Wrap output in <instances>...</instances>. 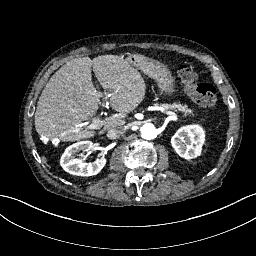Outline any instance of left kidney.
Returning a JSON list of instances; mask_svg holds the SVG:
<instances>
[{"label": "left kidney", "mask_w": 256, "mask_h": 256, "mask_svg": "<svg viewBox=\"0 0 256 256\" xmlns=\"http://www.w3.org/2000/svg\"><path fill=\"white\" fill-rule=\"evenodd\" d=\"M203 143L204 131L196 125L180 128L171 138V145L176 153L187 160L200 154Z\"/></svg>", "instance_id": "1"}]
</instances>
